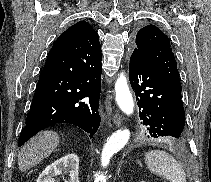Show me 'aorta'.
I'll return each mask as SVG.
<instances>
[{"instance_id": "1", "label": "aorta", "mask_w": 211, "mask_h": 182, "mask_svg": "<svg viewBox=\"0 0 211 182\" xmlns=\"http://www.w3.org/2000/svg\"><path fill=\"white\" fill-rule=\"evenodd\" d=\"M115 98L119 108L127 115L134 110V102L130 93L127 78L121 73L115 83ZM130 131L128 129L118 130L107 140L101 154V164L106 167L111 157L120 151L128 142Z\"/></svg>"}]
</instances>
